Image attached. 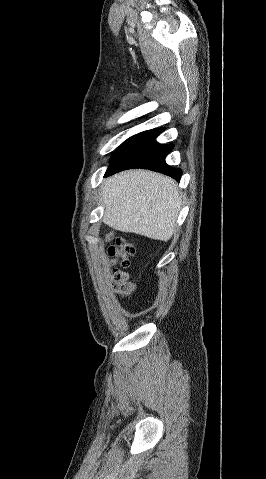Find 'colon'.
Returning a JSON list of instances; mask_svg holds the SVG:
<instances>
[{
  "label": "colon",
  "instance_id": "obj_1",
  "mask_svg": "<svg viewBox=\"0 0 266 479\" xmlns=\"http://www.w3.org/2000/svg\"><path fill=\"white\" fill-rule=\"evenodd\" d=\"M134 252L133 244L123 238H117L115 244L108 248V253L115 265L113 278L118 290L126 289L129 286V276L124 269L129 266V257Z\"/></svg>",
  "mask_w": 266,
  "mask_h": 479
}]
</instances>
